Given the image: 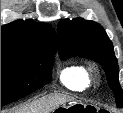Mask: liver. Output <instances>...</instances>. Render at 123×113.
<instances>
[{"mask_svg": "<svg viewBox=\"0 0 123 113\" xmlns=\"http://www.w3.org/2000/svg\"><path fill=\"white\" fill-rule=\"evenodd\" d=\"M71 100L72 98L61 95L42 97L15 110L14 113H50L60 105H64Z\"/></svg>", "mask_w": 123, "mask_h": 113, "instance_id": "6515ba94", "label": "liver"}]
</instances>
